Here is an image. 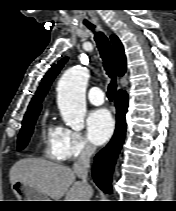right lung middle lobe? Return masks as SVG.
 <instances>
[{"label":"right lung middle lobe","mask_w":176,"mask_h":211,"mask_svg":"<svg viewBox=\"0 0 176 211\" xmlns=\"http://www.w3.org/2000/svg\"><path fill=\"white\" fill-rule=\"evenodd\" d=\"M39 113H34L24 117L21 131L18 135V149L21 150L27 145Z\"/></svg>","instance_id":"dd1d6c3e"}]
</instances>
